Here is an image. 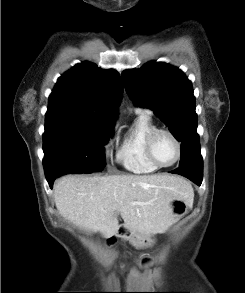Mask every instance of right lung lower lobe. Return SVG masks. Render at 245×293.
<instances>
[{
  "instance_id": "right-lung-lower-lobe-1",
  "label": "right lung lower lobe",
  "mask_w": 245,
  "mask_h": 293,
  "mask_svg": "<svg viewBox=\"0 0 245 293\" xmlns=\"http://www.w3.org/2000/svg\"><path fill=\"white\" fill-rule=\"evenodd\" d=\"M55 179H56V178L48 179V180H47L48 183H49L50 188H53V183H54V180H55Z\"/></svg>"
}]
</instances>
